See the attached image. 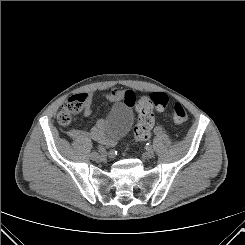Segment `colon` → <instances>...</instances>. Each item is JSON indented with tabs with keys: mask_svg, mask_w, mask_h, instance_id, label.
<instances>
[{
	"mask_svg": "<svg viewBox=\"0 0 245 245\" xmlns=\"http://www.w3.org/2000/svg\"><path fill=\"white\" fill-rule=\"evenodd\" d=\"M85 101L86 97L84 95L69 98L58 115L59 124L63 126L70 124L72 118L83 109ZM167 104L168 97L164 93H153L139 99L136 105L138 121L134 129L135 141L141 142L149 139L155 121L153 108L162 110ZM172 119L178 125L187 121V112L181 104H175Z\"/></svg>",
	"mask_w": 245,
	"mask_h": 245,
	"instance_id": "1",
	"label": "colon"
}]
</instances>
